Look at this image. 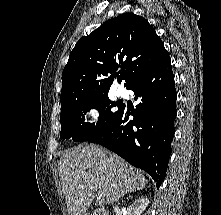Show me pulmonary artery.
Here are the masks:
<instances>
[{
  "instance_id": "1",
  "label": "pulmonary artery",
  "mask_w": 221,
  "mask_h": 215,
  "mask_svg": "<svg viewBox=\"0 0 221 215\" xmlns=\"http://www.w3.org/2000/svg\"><path fill=\"white\" fill-rule=\"evenodd\" d=\"M117 94L121 97H124L126 95V90L124 87L119 86L116 90Z\"/></svg>"
}]
</instances>
